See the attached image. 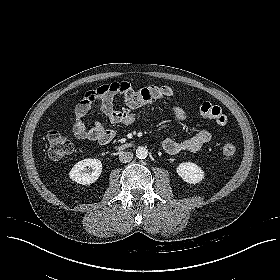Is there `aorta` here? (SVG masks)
Here are the masks:
<instances>
[{"mask_svg":"<svg viewBox=\"0 0 280 280\" xmlns=\"http://www.w3.org/2000/svg\"><path fill=\"white\" fill-rule=\"evenodd\" d=\"M148 149L146 147H143V146H139L137 149H136V156L139 158V159H145L147 156H148Z\"/></svg>","mask_w":280,"mask_h":280,"instance_id":"1","label":"aorta"}]
</instances>
